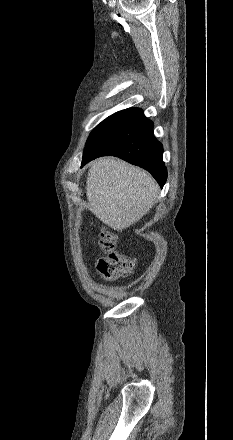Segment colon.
I'll use <instances>...</instances> for the list:
<instances>
[{
	"mask_svg": "<svg viewBox=\"0 0 233 440\" xmlns=\"http://www.w3.org/2000/svg\"><path fill=\"white\" fill-rule=\"evenodd\" d=\"M98 244L101 255L97 259L96 268L104 278L116 279L133 271V261L118 252L117 237L111 230L101 229Z\"/></svg>",
	"mask_w": 233,
	"mask_h": 440,
	"instance_id": "5ec220e1",
	"label": "colon"
}]
</instances>
